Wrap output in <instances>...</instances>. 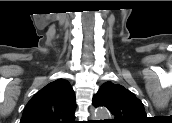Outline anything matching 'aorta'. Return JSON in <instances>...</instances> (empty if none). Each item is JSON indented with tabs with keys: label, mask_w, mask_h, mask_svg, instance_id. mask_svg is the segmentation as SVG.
I'll use <instances>...</instances> for the list:
<instances>
[{
	"label": "aorta",
	"mask_w": 172,
	"mask_h": 123,
	"mask_svg": "<svg viewBox=\"0 0 172 123\" xmlns=\"http://www.w3.org/2000/svg\"><path fill=\"white\" fill-rule=\"evenodd\" d=\"M94 114L97 120H103L110 117V113L106 108H97Z\"/></svg>",
	"instance_id": "obj_1"
}]
</instances>
